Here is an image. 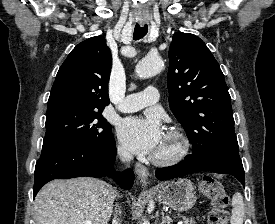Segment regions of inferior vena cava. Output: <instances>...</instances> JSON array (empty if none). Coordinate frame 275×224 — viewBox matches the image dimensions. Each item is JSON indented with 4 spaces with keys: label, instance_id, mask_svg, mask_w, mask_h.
I'll use <instances>...</instances> for the list:
<instances>
[{
    "label": "inferior vena cava",
    "instance_id": "inferior-vena-cava-1",
    "mask_svg": "<svg viewBox=\"0 0 275 224\" xmlns=\"http://www.w3.org/2000/svg\"><path fill=\"white\" fill-rule=\"evenodd\" d=\"M118 155L120 156V158H121L122 161H130L131 159H133V156L129 152H127L126 150H124V149H120L119 148L118 149ZM116 212H117V210H116Z\"/></svg>",
    "mask_w": 275,
    "mask_h": 224
}]
</instances>
